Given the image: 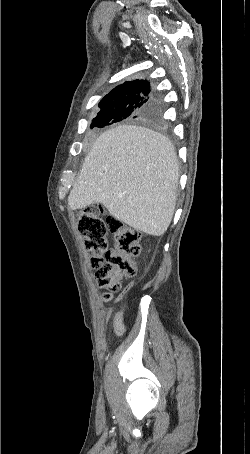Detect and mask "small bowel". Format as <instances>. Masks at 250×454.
<instances>
[{
  "instance_id": "obj_1",
  "label": "small bowel",
  "mask_w": 250,
  "mask_h": 454,
  "mask_svg": "<svg viewBox=\"0 0 250 454\" xmlns=\"http://www.w3.org/2000/svg\"><path fill=\"white\" fill-rule=\"evenodd\" d=\"M124 311L120 309L117 311L114 315L113 319V327L114 331L116 334L121 335L125 331V325H124Z\"/></svg>"
}]
</instances>
